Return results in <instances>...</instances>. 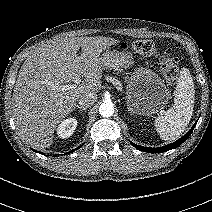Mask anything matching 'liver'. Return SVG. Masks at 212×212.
Segmentation results:
<instances>
[{
	"mask_svg": "<svg viewBox=\"0 0 212 212\" xmlns=\"http://www.w3.org/2000/svg\"><path fill=\"white\" fill-rule=\"evenodd\" d=\"M118 42L109 37H59L32 51L21 66L13 96L15 124L25 140L44 149L78 96L102 88L101 53ZM81 48L82 53L78 56ZM83 75L76 88L63 86Z\"/></svg>",
	"mask_w": 212,
	"mask_h": 212,
	"instance_id": "1",
	"label": "liver"
}]
</instances>
